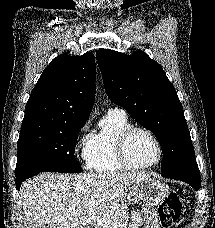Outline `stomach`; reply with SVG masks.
Instances as JSON below:
<instances>
[{"label":"stomach","mask_w":215,"mask_h":228,"mask_svg":"<svg viewBox=\"0 0 215 228\" xmlns=\"http://www.w3.org/2000/svg\"><path fill=\"white\" fill-rule=\"evenodd\" d=\"M131 196L145 204L144 228H160L158 206L169 196V188L154 178H144L130 188Z\"/></svg>","instance_id":"0dacf381"}]
</instances>
